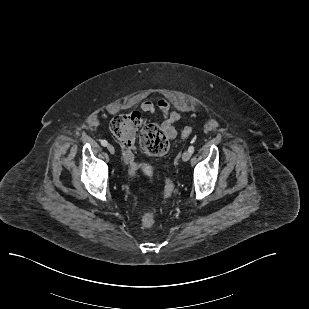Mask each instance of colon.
Masks as SVG:
<instances>
[{"label": "colon", "instance_id": "colon-1", "mask_svg": "<svg viewBox=\"0 0 309 309\" xmlns=\"http://www.w3.org/2000/svg\"><path fill=\"white\" fill-rule=\"evenodd\" d=\"M110 129L118 141L127 149H138L150 156L164 155L169 148L168 138L156 124L146 123L138 112L115 116L110 123ZM191 129L182 132L183 137H188ZM134 168L131 166V171ZM173 186L168 183L164 190V197L172 194ZM155 223V213L146 212L142 216V224L151 227Z\"/></svg>", "mask_w": 309, "mask_h": 309}]
</instances>
